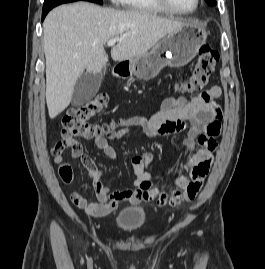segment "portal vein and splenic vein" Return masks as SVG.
<instances>
[{"label": "portal vein and splenic vein", "instance_id": "1", "mask_svg": "<svg viewBox=\"0 0 265 269\" xmlns=\"http://www.w3.org/2000/svg\"><path fill=\"white\" fill-rule=\"evenodd\" d=\"M122 40H123V37L110 39V40L107 41V45L108 46H113V45L116 44V42H119V41H122Z\"/></svg>", "mask_w": 265, "mask_h": 269}]
</instances>
